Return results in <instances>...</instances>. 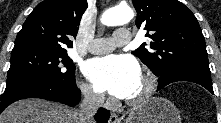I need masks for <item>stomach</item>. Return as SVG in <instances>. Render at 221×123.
Instances as JSON below:
<instances>
[{"label": "stomach", "mask_w": 221, "mask_h": 123, "mask_svg": "<svg viewBox=\"0 0 221 123\" xmlns=\"http://www.w3.org/2000/svg\"><path fill=\"white\" fill-rule=\"evenodd\" d=\"M124 123H181L178 109L169 100L151 97L134 107Z\"/></svg>", "instance_id": "1"}]
</instances>
